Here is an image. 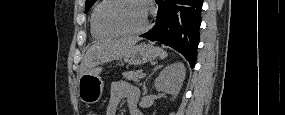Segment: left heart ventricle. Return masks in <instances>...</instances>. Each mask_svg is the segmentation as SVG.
<instances>
[{
  "label": "left heart ventricle",
  "instance_id": "obj_1",
  "mask_svg": "<svg viewBox=\"0 0 285 115\" xmlns=\"http://www.w3.org/2000/svg\"><path fill=\"white\" fill-rule=\"evenodd\" d=\"M101 17L107 25L126 32H133L144 25L145 8L138 1L113 2L103 8Z\"/></svg>",
  "mask_w": 285,
  "mask_h": 115
}]
</instances>
